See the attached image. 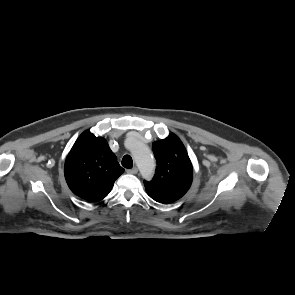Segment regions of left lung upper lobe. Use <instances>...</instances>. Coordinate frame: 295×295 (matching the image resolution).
<instances>
[{
	"instance_id": "left-lung-upper-lobe-1",
	"label": "left lung upper lobe",
	"mask_w": 295,
	"mask_h": 295,
	"mask_svg": "<svg viewBox=\"0 0 295 295\" xmlns=\"http://www.w3.org/2000/svg\"><path fill=\"white\" fill-rule=\"evenodd\" d=\"M157 161L154 178L144 181L147 194L159 202L170 204L185 195L192 183L193 167L181 140L170 134L152 145Z\"/></svg>"
}]
</instances>
